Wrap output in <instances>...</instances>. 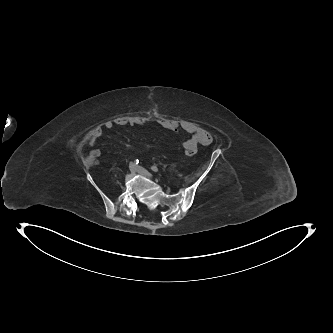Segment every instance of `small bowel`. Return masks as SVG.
Instances as JSON below:
<instances>
[{"label": "small bowel", "instance_id": "obj_1", "mask_svg": "<svg viewBox=\"0 0 333 333\" xmlns=\"http://www.w3.org/2000/svg\"><path fill=\"white\" fill-rule=\"evenodd\" d=\"M145 120L142 118L136 117H122L118 118L114 121H107L104 124L106 129H112L114 126H139L144 125ZM159 125L169 131H178L183 130L187 134L190 135L188 139H186L182 146L184 150H195L198 148V145H209L213 141L212 135L205 129L201 128L200 126L196 125L195 123L182 121L178 122L171 119H162L159 121ZM102 135V128L97 127L93 129L89 135L88 143L91 146H94L97 140ZM91 155L95 158L101 156V151L99 149H93Z\"/></svg>", "mask_w": 333, "mask_h": 333}]
</instances>
